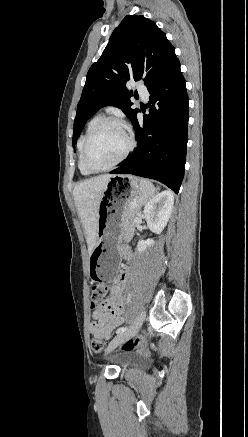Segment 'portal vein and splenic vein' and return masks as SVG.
Returning a JSON list of instances; mask_svg holds the SVG:
<instances>
[{
	"mask_svg": "<svg viewBox=\"0 0 248 437\" xmlns=\"http://www.w3.org/2000/svg\"><path fill=\"white\" fill-rule=\"evenodd\" d=\"M131 205H132V206H137V204H136V203H134V202H133V203H131Z\"/></svg>",
	"mask_w": 248,
	"mask_h": 437,
	"instance_id": "portal-vein-and-splenic-vein-1",
	"label": "portal vein and splenic vein"
}]
</instances>
